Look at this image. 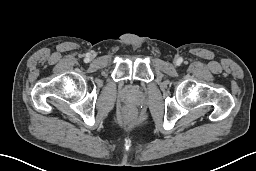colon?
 I'll list each match as a JSON object with an SVG mask.
<instances>
[{
    "label": "colon",
    "mask_w": 256,
    "mask_h": 171,
    "mask_svg": "<svg viewBox=\"0 0 256 171\" xmlns=\"http://www.w3.org/2000/svg\"><path fill=\"white\" fill-rule=\"evenodd\" d=\"M132 116H133V111L132 110H127L125 112V118L126 119L132 118Z\"/></svg>",
    "instance_id": "colon-1"
}]
</instances>
